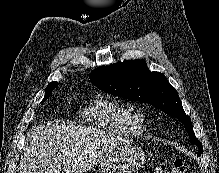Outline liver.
Returning <instances> with one entry per match:
<instances>
[{
    "mask_svg": "<svg viewBox=\"0 0 219 173\" xmlns=\"http://www.w3.org/2000/svg\"><path fill=\"white\" fill-rule=\"evenodd\" d=\"M125 142L99 129L64 122L34 127L28 133L19 173H84Z\"/></svg>",
    "mask_w": 219,
    "mask_h": 173,
    "instance_id": "obj_1",
    "label": "liver"
}]
</instances>
